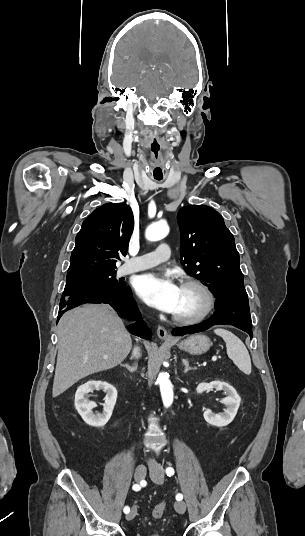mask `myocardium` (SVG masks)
<instances>
[{
	"instance_id": "1",
	"label": "myocardium",
	"mask_w": 305,
	"mask_h": 536,
	"mask_svg": "<svg viewBox=\"0 0 305 536\" xmlns=\"http://www.w3.org/2000/svg\"><path fill=\"white\" fill-rule=\"evenodd\" d=\"M181 286H193L199 289L206 299V305L201 312L196 314L181 315L173 313L172 319L174 321L178 323H196L205 320L213 314L217 307V297L213 289L206 282L198 278L187 277L181 282Z\"/></svg>"
}]
</instances>
